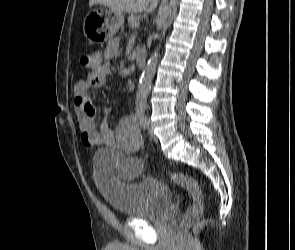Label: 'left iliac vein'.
Listing matches in <instances>:
<instances>
[{"label": "left iliac vein", "mask_w": 295, "mask_h": 250, "mask_svg": "<svg viewBox=\"0 0 295 250\" xmlns=\"http://www.w3.org/2000/svg\"><path fill=\"white\" fill-rule=\"evenodd\" d=\"M146 127L148 130V134L150 136V138L154 141V142H158V138L157 136L153 133V129H152V124L149 120L146 119Z\"/></svg>", "instance_id": "obj_1"}]
</instances>
